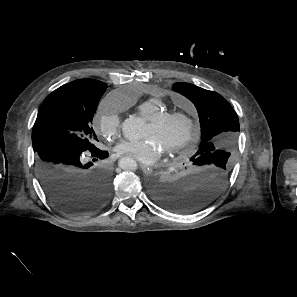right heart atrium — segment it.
I'll return each instance as SVG.
<instances>
[{"label":"right heart atrium","instance_id":"right-heart-atrium-1","mask_svg":"<svg viewBox=\"0 0 297 297\" xmlns=\"http://www.w3.org/2000/svg\"><path fill=\"white\" fill-rule=\"evenodd\" d=\"M123 107L118 104L112 94L103 98L95 115V123L105 138L112 140L120 131V112Z\"/></svg>","mask_w":297,"mask_h":297}]
</instances>
